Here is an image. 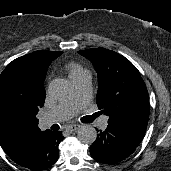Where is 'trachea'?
Listing matches in <instances>:
<instances>
[{
    "label": "trachea",
    "instance_id": "1",
    "mask_svg": "<svg viewBox=\"0 0 171 171\" xmlns=\"http://www.w3.org/2000/svg\"><path fill=\"white\" fill-rule=\"evenodd\" d=\"M98 116H99V113H96V114H94V115L91 116V119L93 120V119H95Z\"/></svg>",
    "mask_w": 171,
    "mask_h": 171
}]
</instances>
